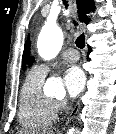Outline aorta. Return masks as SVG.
I'll use <instances>...</instances> for the list:
<instances>
[{"mask_svg":"<svg viewBox=\"0 0 116 134\" xmlns=\"http://www.w3.org/2000/svg\"><path fill=\"white\" fill-rule=\"evenodd\" d=\"M62 45V30L56 23L48 21L38 36L37 48L39 55L43 59L54 58L60 52ZM45 88L54 94L64 92L61 80L53 76L47 79ZM68 134H74V129H70Z\"/></svg>","mask_w":116,"mask_h":134,"instance_id":"obj_1","label":"aorta"}]
</instances>
